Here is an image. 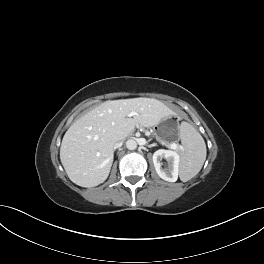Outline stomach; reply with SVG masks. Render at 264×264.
<instances>
[{
  "instance_id": "stomach-1",
  "label": "stomach",
  "mask_w": 264,
  "mask_h": 264,
  "mask_svg": "<svg viewBox=\"0 0 264 264\" xmlns=\"http://www.w3.org/2000/svg\"><path fill=\"white\" fill-rule=\"evenodd\" d=\"M180 119L178 116L173 115L167 117L160 125L156 126L155 136L158 141H162L165 144L175 142L179 138L178 124Z\"/></svg>"
}]
</instances>
